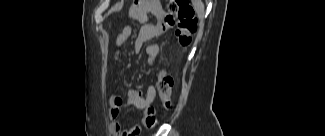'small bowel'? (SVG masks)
<instances>
[{
  "instance_id": "c3829d8e",
  "label": "small bowel",
  "mask_w": 325,
  "mask_h": 136,
  "mask_svg": "<svg viewBox=\"0 0 325 136\" xmlns=\"http://www.w3.org/2000/svg\"><path fill=\"white\" fill-rule=\"evenodd\" d=\"M133 31V27L128 25L123 27L117 36L112 56L114 63L119 62L123 53L124 43L132 35ZM162 31L163 28L157 24H146L143 25L136 34L135 46L137 48L145 46L146 62L149 67L154 64L158 57L159 47L148 43L160 36ZM155 97L156 90L152 85L148 86L145 90L132 89L127 93L126 98L121 95L112 96L109 99V107L110 117L115 120L112 124L114 134L116 136H136L140 134L143 128L154 127L157 124L155 109L152 106ZM126 105H132L136 109L143 111L144 115L140 124L125 129L116 119L120 110Z\"/></svg>"
}]
</instances>
